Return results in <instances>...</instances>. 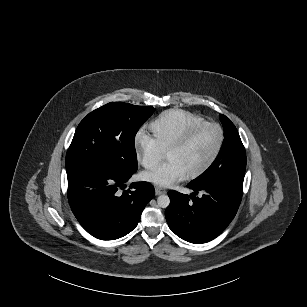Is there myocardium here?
I'll use <instances>...</instances> for the list:
<instances>
[{"label": "myocardium", "mask_w": 307, "mask_h": 307, "mask_svg": "<svg viewBox=\"0 0 307 307\" xmlns=\"http://www.w3.org/2000/svg\"><path fill=\"white\" fill-rule=\"evenodd\" d=\"M210 127L218 128L220 133H221V139H220L219 146H218L217 150L215 151V153L213 154V156L210 158V160L204 166H202L200 169H198L197 171L188 174L186 176L187 179H195V178H198V177L206 174L215 165V163L218 161V159L220 158V156H221V154L224 150L226 140H227L225 128L221 124L215 123V122L200 125V126L196 127L195 129L189 131L182 138L177 139L174 142H172L165 150L164 156H165V154H167L169 152L178 151V150L183 149L192 140H194L203 130L210 128Z\"/></svg>", "instance_id": "1"}]
</instances>
